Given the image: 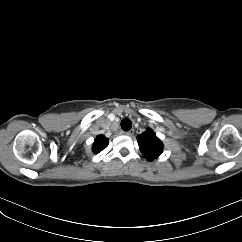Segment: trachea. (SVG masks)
Segmentation results:
<instances>
[{"label": "trachea", "instance_id": "3493384b", "mask_svg": "<svg viewBox=\"0 0 242 242\" xmlns=\"http://www.w3.org/2000/svg\"><path fill=\"white\" fill-rule=\"evenodd\" d=\"M132 127V122L129 118H124L122 121H121V128L124 130V131H129Z\"/></svg>", "mask_w": 242, "mask_h": 242}]
</instances>
